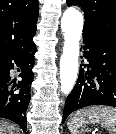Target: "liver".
Returning <instances> with one entry per match:
<instances>
[{
	"instance_id": "1",
	"label": "liver",
	"mask_w": 116,
	"mask_h": 134,
	"mask_svg": "<svg viewBox=\"0 0 116 134\" xmlns=\"http://www.w3.org/2000/svg\"><path fill=\"white\" fill-rule=\"evenodd\" d=\"M0 134H19V130L7 122L0 121Z\"/></svg>"
}]
</instances>
